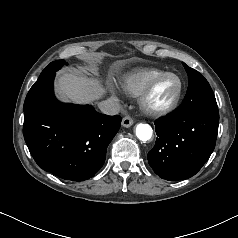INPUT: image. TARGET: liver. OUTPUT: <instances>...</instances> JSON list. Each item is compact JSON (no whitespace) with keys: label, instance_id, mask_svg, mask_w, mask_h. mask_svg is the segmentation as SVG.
<instances>
[{"label":"liver","instance_id":"liver-1","mask_svg":"<svg viewBox=\"0 0 238 238\" xmlns=\"http://www.w3.org/2000/svg\"><path fill=\"white\" fill-rule=\"evenodd\" d=\"M60 98L75 103H90L102 97L105 90L93 79L77 73H63L57 81Z\"/></svg>","mask_w":238,"mask_h":238}]
</instances>
